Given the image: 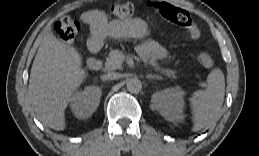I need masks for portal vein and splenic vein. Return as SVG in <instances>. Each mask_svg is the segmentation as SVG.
I'll use <instances>...</instances> for the list:
<instances>
[{"instance_id": "18ae733b", "label": "portal vein and splenic vein", "mask_w": 259, "mask_h": 156, "mask_svg": "<svg viewBox=\"0 0 259 156\" xmlns=\"http://www.w3.org/2000/svg\"><path fill=\"white\" fill-rule=\"evenodd\" d=\"M144 64H145V66H147V62L145 60H144ZM200 86L205 87L206 84L205 83H201Z\"/></svg>"}]
</instances>
